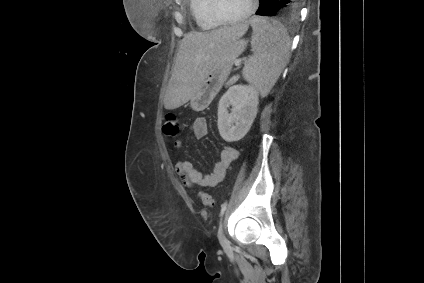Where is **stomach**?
<instances>
[{
    "label": "stomach",
    "instance_id": "1",
    "mask_svg": "<svg viewBox=\"0 0 424 283\" xmlns=\"http://www.w3.org/2000/svg\"><path fill=\"white\" fill-rule=\"evenodd\" d=\"M246 45L247 41L239 38L225 46L219 59L206 74L198 90L190 99L193 109L201 111L212 101L230 74L234 61L245 50ZM205 95L207 99L200 105L199 103Z\"/></svg>",
    "mask_w": 424,
    "mask_h": 283
}]
</instances>
